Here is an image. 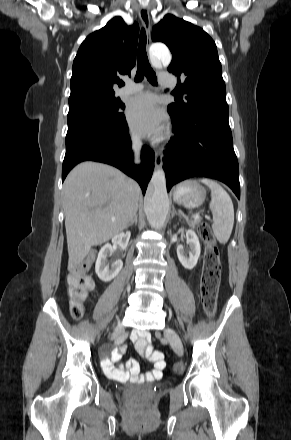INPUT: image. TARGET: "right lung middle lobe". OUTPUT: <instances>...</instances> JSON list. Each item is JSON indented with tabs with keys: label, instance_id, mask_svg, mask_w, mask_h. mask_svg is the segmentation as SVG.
<instances>
[{
	"label": "right lung middle lobe",
	"instance_id": "right-lung-middle-lobe-1",
	"mask_svg": "<svg viewBox=\"0 0 291 440\" xmlns=\"http://www.w3.org/2000/svg\"><path fill=\"white\" fill-rule=\"evenodd\" d=\"M125 105L114 95L86 96L69 101L68 118L74 116H90L106 122L116 121L124 114Z\"/></svg>",
	"mask_w": 291,
	"mask_h": 440
}]
</instances>
